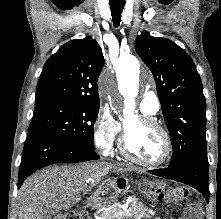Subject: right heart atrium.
Here are the masks:
<instances>
[{"instance_id":"obj_1","label":"right heart atrium","mask_w":221,"mask_h":219,"mask_svg":"<svg viewBox=\"0 0 221 219\" xmlns=\"http://www.w3.org/2000/svg\"><path fill=\"white\" fill-rule=\"evenodd\" d=\"M120 130L121 125L110 110L101 109L93 125V137L97 149L103 154H109L113 150Z\"/></svg>"}]
</instances>
